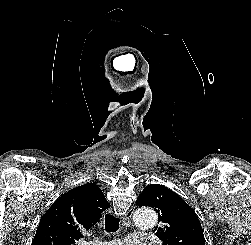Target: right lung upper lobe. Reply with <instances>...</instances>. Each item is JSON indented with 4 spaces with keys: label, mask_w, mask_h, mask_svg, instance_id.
<instances>
[{
    "label": "right lung upper lobe",
    "mask_w": 251,
    "mask_h": 245,
    "mask_svg": "<svg viewBox=\"0 0 251 245\" xmlns=\"http://www.w3.org/2000/svg\"><path fill=\"white\" fill-rule=\"evenodd\" d=\"M94 183L75 187L57 199L40 220L32 245H73L109 207Z\"/></svg>",
    "instance_id": "right-lung-upper-lobe-1"
}]
</instances>
